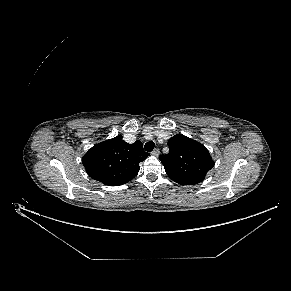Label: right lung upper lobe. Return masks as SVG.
<instances>
[{
    "label": "right lung upper lobe",
    "instance_id": "right-lung-upper-lobe-1",
    "mask_svg": "<svg viewBox=\"0 0 291 291\" xmlns=\"http://www.w3.org/2000/svg\"><path fill=\"white\" fill-rule=\"evenodd\" d=\"M149 156L142 142L128 144L122 136L96 144L82 158L88 175L108 186L129 182L139 172V163Z\"/></svg>",
    "mask_w": 291,
    "mask_h": 291
}]
</instances>
